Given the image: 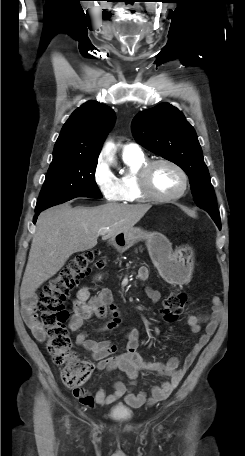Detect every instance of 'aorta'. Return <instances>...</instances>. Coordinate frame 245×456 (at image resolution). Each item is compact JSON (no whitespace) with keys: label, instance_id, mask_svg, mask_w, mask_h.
<instances>
[{"label":"aorta","instance_id":"1","mask_svg":"<svg viewBox=\"0 0 245 456\" xmlns=\"http://www.w3.org/2000/svg\"><path fill=\"white\" fill-rule=\"evenodd\" d=\"M112 146H113L112 143H107V144H106V147H105V153H106V155H108V154L110 153V150H111ZM110 160H111V162H114V161H112V159H110Z\"/></svg>","mask_w":245,"mask_h":456}]
</instances>
